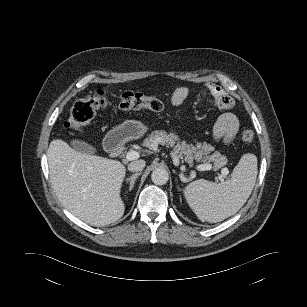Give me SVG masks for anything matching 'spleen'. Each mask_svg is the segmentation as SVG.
Returning a JSON list of instances; mask_svg holds the SVG:
<instances>
[{"label": "spleen", "mask_w": 307, "mask_h": 307, "mask_svg": "<svg viewBox=\"0 0 307 307\" xmlns=\"http://www.w3.org/2000/svg\"><path fill=\"white\" fill-rule=\"evenodd\" d=\"M257 177V157L244 154L231 177L219 184L205 179L191 182L184 189L185 199L201 221L216 223L234 215L246 203Z\"/></svg>", "instance_id": "spleen-1"}]
</instances>
